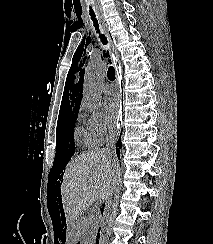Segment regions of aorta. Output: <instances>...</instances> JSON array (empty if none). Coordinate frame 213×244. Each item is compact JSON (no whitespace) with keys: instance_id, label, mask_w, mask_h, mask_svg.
Returning <instances> with one entry per match:
<instances>
[{"instance_id":"762f6f07","label":"aorta","mask_w":213,"mask_h":244,"mask_svg":"<svg viewBox=\"0 0 213 244\" xmlns=\"http://www.w3.org/2000/svg\"><path fill=\"white\" fill-rule=\"evenodd\" d=\"M105 73L106 66L102 61L91 62L85 71L83 101L94 109L101 105L102 94L99 89V84L104 79Z\"/></svg>"}]
</instances>
